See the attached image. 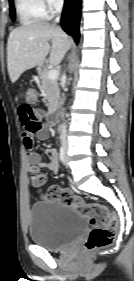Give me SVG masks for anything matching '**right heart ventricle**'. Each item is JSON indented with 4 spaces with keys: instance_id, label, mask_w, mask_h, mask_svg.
Returning a JSON list of instances; mask_svg holds the SVG:
<instances>
[{
    "instance_id": "obj_1",
    "label": "right heart ventricle",
    "mask_w": 134,
    "mask_h": 281,
    "mask_svg": "<svg viewBox=\"0 0 134 281\" xmlns=\"http://www.w3.org/2000/svg\"><path fill=\"white\" fill-rule=\"evenodd\" d=\"M16 10L23 24H32L48 15L42 0H15Z\"/></svg>"
}]
</instances>
